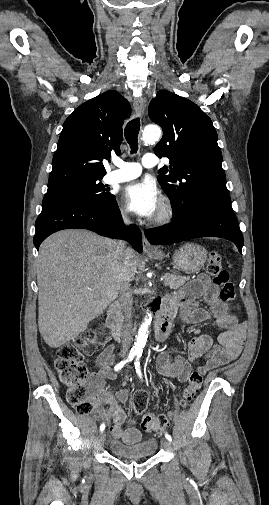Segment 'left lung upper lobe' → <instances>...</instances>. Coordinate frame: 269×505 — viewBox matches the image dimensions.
<instances>
[{
    "label": "left lung upper lobe",
    "mask_w": 269,
    "mask_h": 505,
    "mask_svg": "<svg viewBox=\"0 0 269 505\" xmlns=\"http://www.w3.org/2000/svg\"><path fill=\"white\" fill-rule=\"evenodd\" d=\"M149 116L163 129L154 152L170 159V166L159 170L158 181L171 200L173 217L187 219L199 201L230 202L218 136L200 107L161 90L149 105Z\"/></svg>",
    "instance_id": "obj_1"
}]
</instances>
